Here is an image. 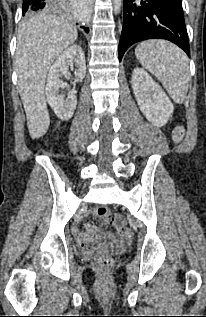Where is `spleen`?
I'll return each instance as SVG.
<instances>
[{
    "instance_id": "1",
    "label": "spleen",
    "mask_w": 206,
    "mask_h": 317,
    "mask_svg": "<svg viewBox=\"0 0 206 317\" xmlns=\"http://www.w3.org/2000/svg\"><path fill=\"white\" fill-rule=\"evenodd\" d=\"M135 55L159 79L174 102H184L190 75L188 57L179 47L167 41L149 40L136 47Z\"/></svg>"
}]
</instances>
